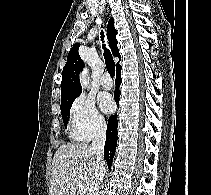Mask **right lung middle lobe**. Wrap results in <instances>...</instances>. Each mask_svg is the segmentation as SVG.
<instances>
[{
  "instance_id": "right-lung-middle-lobe-1",
  "label": "right lung middle lobe",
  "mask_w": 211,
  "mask_h": 195,
  "mask_svg": "<svg viewBox=\"0 0 211 195\" xmlns=\"http://www.w3.org/2000/svg\"><path fill=\"white\" fill-rule=\"evenodd\" d=\"M74 100L67 101L61 103L60 109H61V114L63 118L64 125L67 126V121L69 120V113H70V108Z\"/></svg>"
}]
</instances>
